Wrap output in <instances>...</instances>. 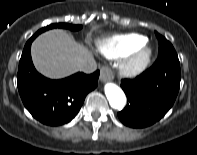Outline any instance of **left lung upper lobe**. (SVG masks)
Returning a JSON list of instances; mask_svg holds the SVG:
<instances>
[{
  "mask_svg": "<svg viewBox=\"0 0 197 155\" xmlns=\"http://www.w3.org/2000/svg\"><path fill=\"white\" fill-rule=\"evenodd\" d=\"M155 34L159 42L158 58L178 59L177 53L172 44L165 37L161 36L157 32Z\"/></svg>",
  "mask_w": 197,
  "mask_h": 155,
  "instance_id": "5c2ea615",
  "label": "left lung upper lobe"
}]
</instances>
